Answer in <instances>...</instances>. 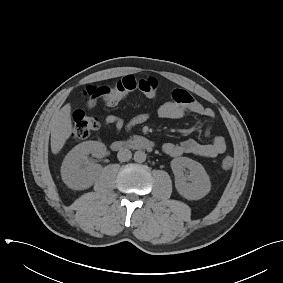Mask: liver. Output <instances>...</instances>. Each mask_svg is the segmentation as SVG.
Listing matches in <instances>:
<instances>
[{"label": "liver", "mask_w": 283, "mask_h": 283, "mask_svg": "<svg viewBox=\"0 0 283 283\" xmlns=\"http://www.w3.org/2000/svg\"><path fill=\"white\" fill-rule=\"evenodd\" d=\"M72 134L71 105L61 108L51 120V151L58 154Z\"/></svg>", "instance_id": "liver-1"}]
</instances>
